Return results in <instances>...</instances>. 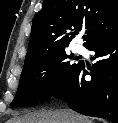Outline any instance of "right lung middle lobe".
<instances>
[{"mask_svg": "<svg viewBox=\"0 0 118 123\" xmlns=\"http://www.w3.org/2000/svg\"><path fill=\"white\" fill-rule=\"evenodd\" d=\"M66 49L41 56L24 65L19 87L11 106L33 104L49 99L77 71L81 62L71 64Z\"/></svg>", "mask_w": 118, "mask_h": 123, "instance_id": "dd1d6c3e", "label": "right lung middle lobe"}]
</instances>
